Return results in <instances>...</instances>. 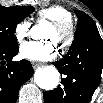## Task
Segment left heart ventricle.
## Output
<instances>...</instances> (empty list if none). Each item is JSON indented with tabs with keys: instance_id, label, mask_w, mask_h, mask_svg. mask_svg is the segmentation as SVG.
Masks as SVG:
<instances>
[{
	"instance_id": "1",
	"label": "left heart ventricle",
	"mask_w": 103,
	"mask_h": 103,
	"mask_svg": "<svg viewBox=\"0 0 103 103\" xmlns=\"http://www.w3.org/2000/svg\"><path fill=\"white\" fill-rule=\"evenodd\" d=\"M44 38L47 40H53L56 44H58L61 40V35L53 26H50L45 32Z\"/></svg>"
}]
</instances>
